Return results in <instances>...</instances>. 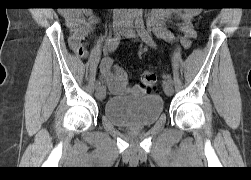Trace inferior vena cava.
I'll return each mask as SVG.
<instances>
[{"label": "inferior vena cava", "instance_id": "602c4592", "mask_svg": "<svg viewBox=\"0 0 251 180\" xmlns=\"http://www.w3.org/2000/svg\"><path fill=\"white\" fill-rule=\"evenodd\" d=\"M113 13H114V18L117 19L119 15L124 17L126 15V10L121 8H115Z\"/></svg>", "mask_w": 251, "mask_h": 180}]
</instances>
